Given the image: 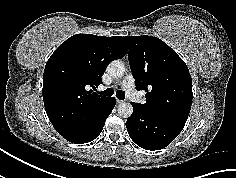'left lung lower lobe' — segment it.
Segmentation results:
<instances>
[{
    "instance_id": "obj_1",
    "label": "left lung lower lobe",
    "mask_w": 236,
    "mask_h": 178,
    "mask_svg": "<svg viewBox=\"0 0 236 178\" xmlns=\"http://www.w3.org/2000/svg\"><path fill=\"white\" fill-rule=\"evenodd\" d=\"M133 104V114L126 127L132 141L146 150H159L169 145L184 127V123L158 116Z\"/></svg>"
}]
</instances>
